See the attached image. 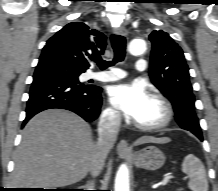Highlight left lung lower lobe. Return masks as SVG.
Listing matches in <instances>:
<instances>
[{"label": "left lung lower lobe", "instance_id": "left-lung-lower-lobe-1", "mask_svg": "<svg viewBox=\"0 0 218 191\" xmlns=\"http://www.w3.org/2000/svg\"><path fill=\"white\" fill-rule=\"evenodd\" d=\"M178 124L180 125V120L177 121ZM201 141L203 140L202 134H195Z\"/></svg>", "mask_w": 218, "mask_h": 191}]
</instances>
